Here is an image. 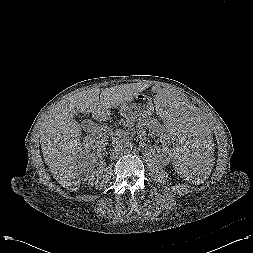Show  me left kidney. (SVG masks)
<instances>
[{"mask_svg": "<svg viewBox=\"0 0 253 253\" xmlns=\"http://www.w3.org/2000/svg\"><path fill=\"white\" fill-rule=\"evenodd\" d=\"M147 129H149L152 132V134L160 138L162 155L165 157L168 156V158H170L172 156V153L169 148L170 134L168 130L163 125H161L156 119H148L137 126V134L140 139L145 140ZM149 150L151 152H154V149H152L151 147H149Z\"/></svg>", "mask_w": 253, "mask_h": 253, "instance_id": "obj_1", "label": "left kidney"}]
</instances>
